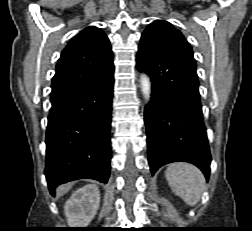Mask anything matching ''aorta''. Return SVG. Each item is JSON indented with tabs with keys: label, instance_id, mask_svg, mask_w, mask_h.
<instances>
[{
	"label": "aorta",
	"instance_id": "obj_1",
	"mask_svg": "<svg viewBox=\"0 0 252 231\" xmlns=\"http://www.w3.org/2000/svg\"><path fill=\"white\" fill-rule=\"evenodd\" d=\"M140 85L143 96L148 102L150 100L151 95V81L150 78L146 74H141L140 76Z\"/></svg>",
	"mask_w": 252,
	"mask_h": 231
}]
</instances>
